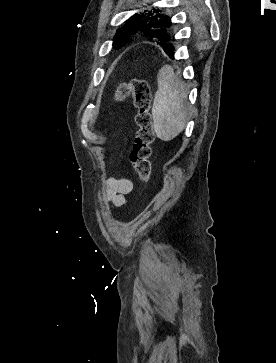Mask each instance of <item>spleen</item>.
<instances>
[{"mask_svg": "<svg viewBox=\"0 0 276 363\" xmlns=\"http://www.w3.org/2000/svg\"><path fill=\"white\" fill-rule=\"evenodd\" d=\"M152 118L156 136L162 141L176 138L184 129L188 114L187 89L170 65L163 66L157 75Z\"/></svg>", "mask_w": 276, "mask_h": 363, "instance_id": "spleen-1", "label": "spleen"}]
</instances>
